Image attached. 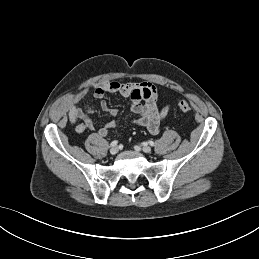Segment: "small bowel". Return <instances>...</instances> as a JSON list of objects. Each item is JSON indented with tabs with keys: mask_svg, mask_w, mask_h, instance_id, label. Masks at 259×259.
Segmentation results:
<instances>
[{
	"mask_svg": "<svg viewBox=\"0 0 259 259\" xmlns=\"http://www.w3.org/2000/svg\"><path fill=\"white\" fill-rule=\"evenodd\" d=\"M89 89L84 88L71 95L66 100V111L69 120L76 125V131L82 133L86 130H96L95 124L88 114L80 107V102L88 95ZM118 93L131 100V110L137 115L132 123L145 127L151 134H158L162 121L168 115L170 106L159 109L158 92L151 83H131L119 81H106L95 86L93 94L97 99H102L107 94ZM102 111L107 113L111 120L96 130L99 137H106L111 129L118 125V110L112 108L106 101L100 102Z\"/></svg>",
	"mask_w": 259,
	"mask_h": 259,
	"instance_id": "c3829d8e",
	"label": "small bowel"
}]
</instances>
